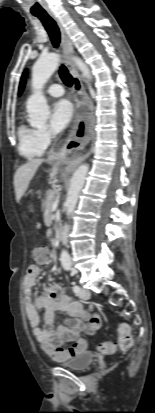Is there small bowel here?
Instances as JSON below:
<instances>
[{
	"label": "small bowel",
	"mask_w": 155,
	"mask_h": 413,
	"mask_svg": "<svg viewBox=\"0 0 155 413\" xmlns=\"http://www.w3.org/2000/svg\"><path fill=\"white\" fill-rule=\"evenodd\" d=\"M40 275V266L30 265L28 267L24 277V287L28 295L25 313L34 337L49 355L51 354L47 351L48 346L60 349L74 347L71 352H62L59 359L53 357L55 361L62 362L86 351L87 342L85 340L74 342L75 337L81 333L93 334L99 328L101 319L85 311L81 303L71 299L57 284H46L43 288L44 294L32 296V288L36 285ZM39 309H43L42 327ZM58 311L66 312L70 318L58 328H54L53 322ZM64 344L71 345L63 348Z\"/></svg>",
	"instance_id": "obj_1"
}]
</instances>
